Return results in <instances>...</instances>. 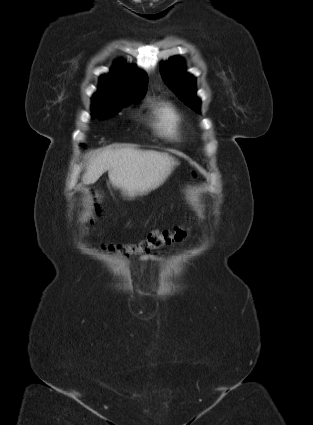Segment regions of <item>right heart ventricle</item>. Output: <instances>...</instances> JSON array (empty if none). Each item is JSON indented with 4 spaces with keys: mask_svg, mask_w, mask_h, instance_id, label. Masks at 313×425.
<instances>
[{
    "mask_svg": "<svg viewBox=\"0 0 313 425\" xmlns=\"http://www.w3.org/2000/svg\"><path fill=\"white\" fill-rule=\"evenodd\" d=\"M156 128L167 137H177L181 130V119L170 105H159L155 109Z\"/></svg>",
    "mask_w": 313,
    "mask_h": 425,
    "instance_id": "right-heart-ventricle-1",
    "label": "right heart ventricle"
}]
</instances>
